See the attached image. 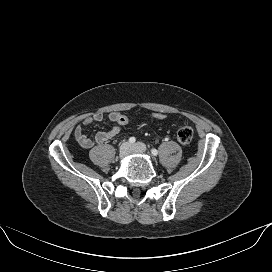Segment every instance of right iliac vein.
<instances>
[{
	"label": "right iliac vein",
	"mask_w": 272,
	"mask_h": 272,
	"mask_svg": "<svg viewBox=\"0 0 272 272\" xmlns=\"http://www.w3.org/2000/svg\"><path fill=\"white\" fill-rule=\"evenodd\" d=\"M131 150H132V147H131L130 143L124 142L120 146V153H119L120 158L123 159L126 156H128L131 153Z\"/></svg>",
	"instance_id": "1"
}]
</instances>
